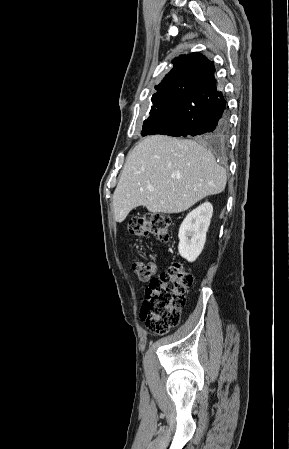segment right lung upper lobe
<instances>
[{"instance_id": "right-lung-upper-lobe-1", "label": "right lung upper lobe", "mask_w": 289, "mask_h": 449, "mask_svg": "<svg viewBox=\"0 0 289 449\" xmlns=\"http://www.w3.org/2000/svg\"><path fill=\"white\" fill-rule=\"evenodd\" d=\"M173 69L155 86L157 94L169 93L172 85L180 80H207L214 76V64L201 53L180 56L172 61ZM153 95V96H154Z\"/></svg>"}]
</instances>
